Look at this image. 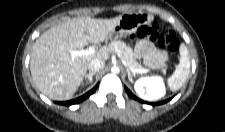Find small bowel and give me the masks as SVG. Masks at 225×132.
<instances>
[{
    "instance_id": "small-bowel-1",
    "label": "small bowel",
    "mask_w": 225,
    "mask_h": 132,
    "mask_svg": "<svg viewBox=\"0 0 225 132\" xmlns=\"http://www.w3.org/2000/svg\"><path fill=\"white\" fill-rule=\"evenodd\" d=\"M135 53L147 67L159 68L166 61V54L146 40L139 41L136 44Z\"/></svg>"
}]
</instances>
